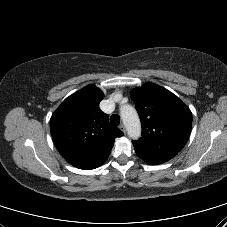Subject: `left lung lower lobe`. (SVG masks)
Segmentation results:
<instances>
[{
	"label": "left lung lower lobe",
	"mask_w": 227,
	"mask_h": 227,
	"mask_svg": "<svg viewBox=\"0 0 227 227\" xmlns=\"http://www.w3.org/2000/svg\"><path fill=\"white\" fill-rule=\"evenodd\" d=\"M146 162L149 163V164H152V165H157V164L164 163V162L156 161V160H148V161H146Z\"/></svg>",
	"instance_id": "obj_1"
}]
</instances>
